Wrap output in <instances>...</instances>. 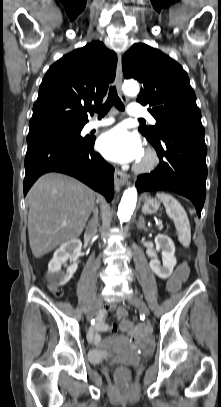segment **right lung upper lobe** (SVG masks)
Masks as SVG:
<instances>
[{"label":"right lung upper lobe","instance_id":"obj_1","mask_svg":"<svg viewBox=\"0 0 221 407\" xmlns=\"http://www.w3.org/2000/svg\"><path fill=\"white\" fill-rule=\"evenodd\" d=\"M116 64V54L99 41L63 56L42 80L29 127L87 123V111L102 102Z\"/></svg>","mask_w":221,"mask_h":407}]
</instances>
